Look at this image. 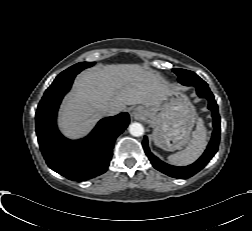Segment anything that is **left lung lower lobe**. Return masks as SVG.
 Returning <instances> with one entry per match:
<instances>
[{"label":"left lung lower lobe","mask_w":252,"mask_h":231,"mask_svg":"<svg viewBox=\"0 0 252 231\" xmlns=\"http://www.w3.org/2000/svg\"><path fill=\"white\" fill-rule=\"evenodd\" d=\"M186 85L196 87V92L198 96L201 98H206L208 100V109L212 111V117L214 119V122H213L214 131L212 133V138H211L210 143L208 144L207 149L203 153V155L195 163L189 166L175 167V166L164 163L163 161H161L159 158H157L151 153L148 147V139L146 136L144 137V140L142 142L146 155L148 156L152 165L157 170L163 172L164 174L170 177L180 178V179L189 178L193 176L194 174H196L197 172H199L201 169H203L217 152L218 146H219V140H220V116L218 113V106L216 104L214 96L212 92L210 91L207 83L201 80V81L190 82Z\"/></svg>","instance_id":"left-lung-lower-lobe-1"}]
</instances>
